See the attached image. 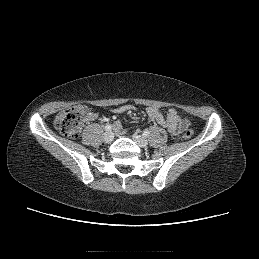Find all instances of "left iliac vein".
<instances>
[{"mask_svg": "<svg viewBox=\"0 0 259 259\" xmlns=\"http://www.w3.org/2000/svg\"><path fill=\"white\" fill-rule=\"evenodd\" d=\"M132 138L139 147L144 148L148 146V140L144 136L133 134Z\"/></svg>", "mask_w": 259, "mask_h": 259, "instance_id": "obj_1", "label": "left iliac vein"}]
</instances>
